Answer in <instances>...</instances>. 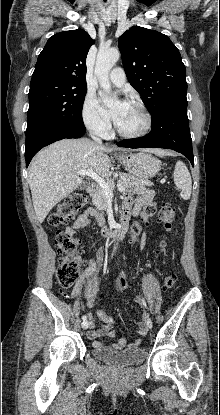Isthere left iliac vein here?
Here are the masks:
<instances>
[{
    "label": "left iliac vein",
    "mask_w": 220,
    "mask_h": 415,
    "mask_svg": "<svg viewBox=\"0 0 220 415\" xmlns=\"http://www.w3.org/2000/svg\"><path fill=\"white\" fill-rule=\"evenodd\" d=\"M147 327L149 328V329H151L152 328V321H151V319L148 317L147 318Z\"/></svg>",
    "instance_id": "4c4485c4"
}]
</instances>
